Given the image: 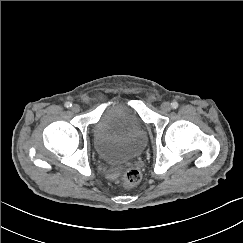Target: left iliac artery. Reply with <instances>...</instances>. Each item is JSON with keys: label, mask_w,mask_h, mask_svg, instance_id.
I'll return each instance as SVG.
<instances>
[{"label": "left iliac artery", "mask_w": 243, "mask_h": 243, "mask_svg": "<svg viewBox=\"0 0 243 243\" xmlns=\"http://www.w3.org/2000/svg\"><path fill=\"white\" fill-rule=\"evenodd\" d=\"M171 106L173 109H176V108H178V103L176 101H174L171 103Z\"/></svg>", "instance_id": "1"}]
</instances>
